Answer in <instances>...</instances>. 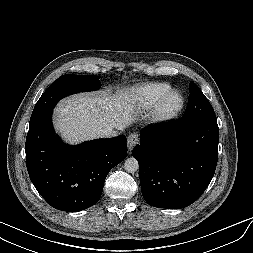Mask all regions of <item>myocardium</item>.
<instances>
[{
	"label": "myocardium",
	"instance_id": "myocardium-1",
	"mask_svg": "<svg viewBox=\"0 0 253 253\" xmlns=\"http://www.w3.org/2000/svg\"><path fill=\"white\" fill-rule=\"evenodd\" d=\"M173 96H177L179 98V103L174 108H168L167 103ZM184 104L185 98L183 94L179 91L171 90L163 95L155 105L152 112V120L157 123L169 122L179 115L184 107Z\"/></svg>",
	"mask_w": 253,
	"mask_h": 253
}]
</instances>
